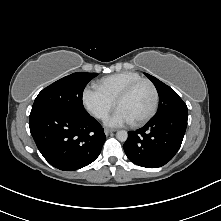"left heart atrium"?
I'll return each instance as SVG.
<instances>
[{"label": "left heart atrium", "instance_id": "1", "mask_svg": "<svg viewBox=\"0 0 221 221\" xmlns=\"http://www.w3.org/2000/svg\"><path fill=\"white\" fill-rule=\"evenodd\" d=\"M129 116L118 108L107 120L106 124L112 127H119L131 123Z\"/></svg>", "mask_w": 221, "mask_h": 221}]
</instances>
